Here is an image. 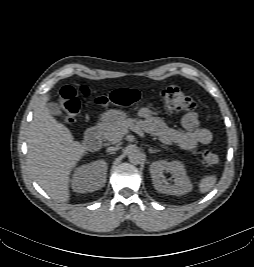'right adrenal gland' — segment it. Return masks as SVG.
<instances>
[{
	"label": "right adrenal gland",
	"mask_w": 254,
	"mask_h": 267,
	"mask_svg": "<svg viewBox=\"0 0 254 267\" xmlns=\"http://www.w3.org/2000/svg\"><path fill=\"white\" fill-rule=\"evenodd\" d=\"M115 154V152L108 153V155Z\"/></svg>",
	"instance_id": "1"
}]
</instances>
